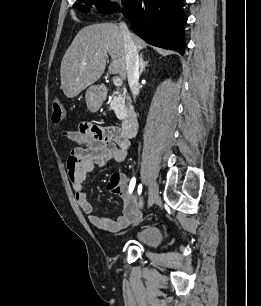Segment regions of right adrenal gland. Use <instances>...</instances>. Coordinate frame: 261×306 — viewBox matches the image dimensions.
Wrapping results in <instances>:
<instances>
[{
  "mask_svg": "<svg viewBox=\"0 0 261 306\" xmlns=\"http://www.w3.org/2000/svg\"><path fill=\"white\" fill-rule=\"evenodd\" d=\"M148 65V61L144 62L143 55H140V75L143 73L145 67Z\"/></svg>",
  "mask_w": 261,
  "mask_h": 306,
  "instance_id": "1",
  "label": "right adrenal gland"
}]
</instances>
